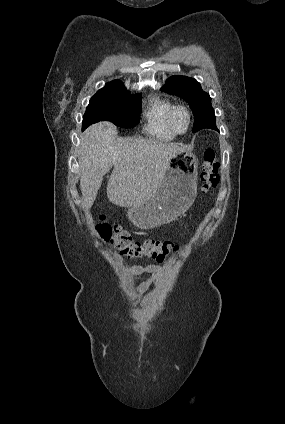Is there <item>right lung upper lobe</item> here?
Returning a JSON list of instances; mask_svg holds the SVG:
<instances>
[{"mask_svg":"<svg viewBox=\"0 0 285 424\" xmlns=\"http://www.w3.org/2000/svg\"><path fill=\"white\" fill-rule=\"evenodd\" d=\"M119 89H126V88L124 87L123 83L120 80H114L112 82L107 83L105 87L100 89L99 91L119 90Z\"/></svg>","mask_w":285,"mask_h":424,"instance_id":"obj_1","label":"right lung upper lobe"}]
</instances>
